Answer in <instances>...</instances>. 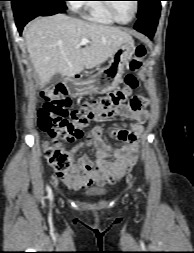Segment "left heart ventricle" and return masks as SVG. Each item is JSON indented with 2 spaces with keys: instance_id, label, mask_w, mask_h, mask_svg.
I'll return each mask as SVG.
<instances>
[{
  "instance_id": "obj_1",
  "label": "left heart ventricle",
  "mask_w": 194,
  "mask_h": 253,
  "mask_svg": "<svg viewBox=\"0 0 194 253\" xmlns=\"http://www.w3.org/2000/svg\"><path fill=\"white\" fill-rule=\"evenodd\" d=\"M112 6L121 20H128L134 12V1H116Z\"/></svg>"
}]
</instances>
